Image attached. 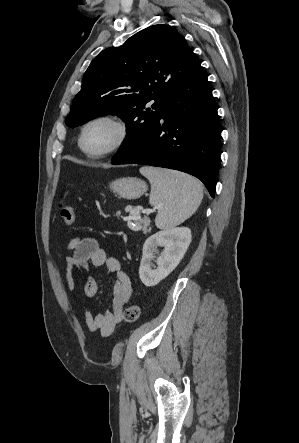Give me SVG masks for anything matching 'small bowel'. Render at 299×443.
<instances>
[{
  "mask_svg": "<svg viewBox=\"0 0 299 443\" xmlns=\"http://www.w3.org/2000/svg\"><path fill=\"white\" fill-rule=\"evenodd\" d=\"M65 249L72 251V255L65 260V277L67 288L73 291L75 288L74 273L79 270H88L90 266L103 267L116 278L113 287L111 309L106 312L93 314L85 310L84 317L88 329L92 332L99 331L103 338L110 337L122 320L123 308L132 297V284L128 275L121 270L120 261L99 245L92 237H74L70 239ZM97 284L92 277H88L84 285V293L87 298H93L97 293Z\"/></svg>",
  "mask_w": 299,
  "mask_h": 443,
  "instance_id": "c3829d8e",
  "label": "small bowel"
}]
</instances>
